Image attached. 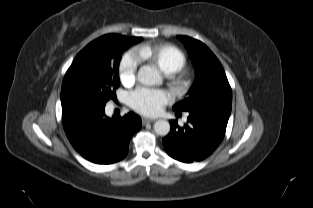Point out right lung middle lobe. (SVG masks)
I'll return each instance as SVG.
<instances>
[{
  "label": "right lung middle lobe",
  "instance_id": "obj_1",
  "mask_svg": "<svg viewBox=\"0 0 313 208\" xmlns=\"http://www.w3.org/2000/svg\"><path fill=\"white\" fill-rule=\"evenodd\" d=\"M132 44L117 37L106 38L76 56L65 74L61 93L72 90L103 103L113 99L120 85V53Z\"/></svg>",
  "mask_w": 313,
  "mask_h": 208
}]
</instances>
